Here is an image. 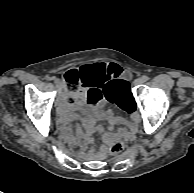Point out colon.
Masks as SVG:
<instances>
[{
	"label": "colon",
	"mask_w": 194,
	"mask_h": 193,
	"mask_svg": "<svg viewBox=\"0 0 194 193\" xmlns=\"http://www.w3.org/2000/svg\"><path fill=\"white\" fill-rule=\"evenodd\" d=\"M67 92L70 97L78 92L82 83H81V74L77 70H69L62 77ZM127 84L124 80H115L108 84L106 87V97L113 101L115 99V92L125 89ZM125 148V142L122 138H118L112 142L109 147L110 154H119Z\"/></svg>",
	"instance_id": "1"
}]
</instances>
